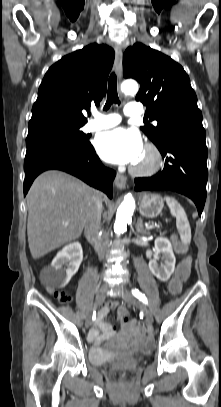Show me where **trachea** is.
<instances>
[{
  "label": "trachea",
  "mask_w": 221,
  "mask_h": 407,
  "mask_svg": "<svg viewBox=\"0 0 221 407\" xmlns=\"http://www.w3.org/2000/svg\"><path fill=\"white\" fill-rule=\"evenodd\" d=\"M113 103L120 104L117 94V77L115 72L111 73L109 77L107 101L104 110H108Z\"/></svg>",
  "instance_id": "obj_1"
}]
</instances>
